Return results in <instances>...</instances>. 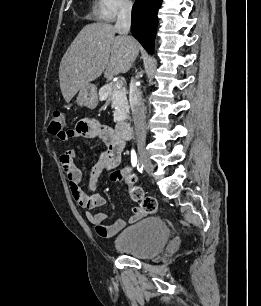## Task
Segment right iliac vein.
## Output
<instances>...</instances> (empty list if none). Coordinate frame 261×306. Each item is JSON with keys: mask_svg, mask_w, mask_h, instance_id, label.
<instances>
[{"mask_svg": "<svg viewBox=\"0 0 261 306\" xmlns=\"http://www.w3.org/2000/svg\"><path fill=\"white\" fill-rule=\"evenodd\" d=\"M137 149H138V155L140 162L144 165L145 171L149 174L152 175L153 173V164L147 154V151L145 149V144L144 141L139 140L137 142Z\"/></svg>", "mask_w": 261, "mask_h": 306, "instance_id": "63e3f726", "label": "right iliac vein"}]
</instances>
